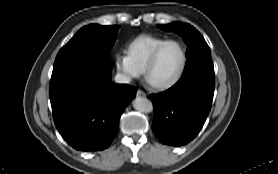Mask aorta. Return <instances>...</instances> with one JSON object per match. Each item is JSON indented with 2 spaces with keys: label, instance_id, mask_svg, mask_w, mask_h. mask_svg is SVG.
Wrapping results in <instances>:
<instances>
[{
  "label": "aorta",
  "instance_id": "1",
  "mask_svg": "<svg viewBox=\"0 0 278 174\" xmlns=\"http://www.w3.org/2000/svg\"><path fill=\"white\" fill-rule=\"evenodd\" d=\"M133 108L139 112L149 113L152 110V103L145 97L137 96L132 101Z\"/></svg>",
  "mask_w": 278,
  "mask_h": 174
}]
</instances>
